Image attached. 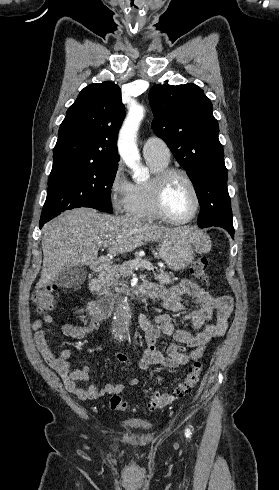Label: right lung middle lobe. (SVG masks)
<instances>
[{"label": "right lung middle lobe", "instance_id": "1", "mask_svg": "<svg viewBox=\"0 0 279 490\" xmlns=\"http://www.w3.org/2000/svg\"><path fill=\"white\" fill-rule=\"evenodd\" d=\"M118 161H74L53 165L41 221L61 212L91 207L112 213L111 188Z\"/></svg>", "mask_w": 279, "mask_h": 490}]
</instances>
